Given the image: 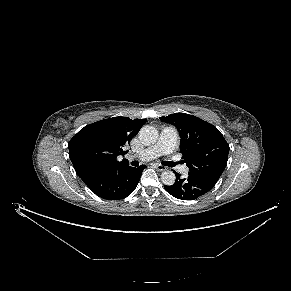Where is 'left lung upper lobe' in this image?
<instances>
[{"label": "left lung upper lobe", "mask_w": 291, "mask_h": 291, "mask_svg": "<svg viewBox=\"0 0 291 291\" xmlns=\"http://www.w3.org/2000/svg\"><path fill=\"white\" fill-rule=\"evenodd\" d=\"M160 119L178 129L180 151L189 173H223L229 145L214 125L186 113H174Z\"/></svg>", "instance_id": "1"}]
</instances>
